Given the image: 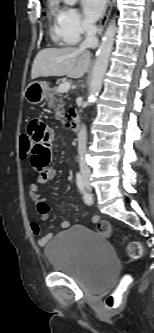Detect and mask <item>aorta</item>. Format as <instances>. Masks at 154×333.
I'll list each match as a JSON object with an SVG mask.
<instances>
[{"mask_svg":"<svg viewBox=\"0 0 154 333\" xmlns=\"http://www.w3.org/2000/svg\"><path fill=\"white\" fill-rule=\"evenodd\" d=\"M63 1L65 4L70 6L74 5L77 2V0H63ZM116 31H117L116 24L112 20L105 30L102 42L98 47L96 53V59L93 66L92 78L90 83V92L88 97L89 104L95 102L96 97L98 96L101 90L103 79L109 64V57L113 49Z\"/></svg>","mask_w":154,"mask_h":333,"instance_id":"1","label":"aorta"}]
</instances>
